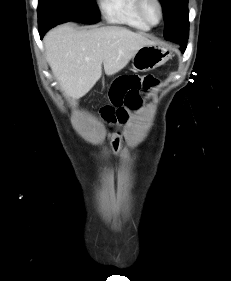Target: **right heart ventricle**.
Segmentation results:
<instances>
[{"label": "right heart ventricle", "mask_w": 231, "mask_h": 281, "mask_svg": "<svg viewBox=\"0 0 231 281\" xmlns=\"http://www.w3.org/2000/svg\"><path fill=\"white\" fill-rule=\"evenodd\" d=\"M99 5L104 18L110 23L144 31L150 27L138 12L137 0H99Z\"/></svg>", "instance_id": "1"}]
</instances>
